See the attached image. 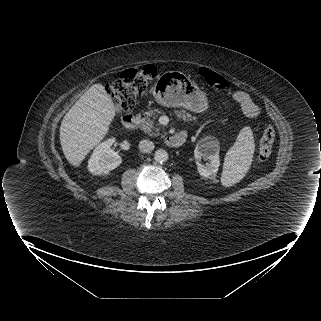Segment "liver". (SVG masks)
Listing matches in <instances>:
<instances>
[{
  "label": "liver",
  "instance_id": "6515ba94",
  "mask_svg": "<svg viewBox=\"0 0 321 321\" xmlns=\"http://www.w3.org/2000/svg\"><path fill=\"white\" fill-rule=\"evenodd\" d=\"M115 115V104L102 84L92 85L70 108L61 122L60 143L71 165L80 166L108 133Z\"/></svg>",
  "mask_w": 321,
  "mask_h": 321
}]
</instances>
